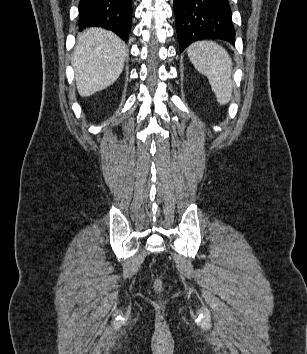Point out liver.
<instances>
[{
	"label": "liver",
	"instance_id": "6515ba94",
	"mask_svg": "<svg viewBox=\"0 0 307 354\" xmlns=\"http://www.w3.org/2000/svg\"><path fill=\"white\" fill-rule=\"evenodd\" d=\"M125 43L103 28H90L77 37L72 65L81 97L106 89L120 76L125 57Z\"/></svg>",
	"mask_w": 307,
	"mask_h": 354
}]
</instances>
